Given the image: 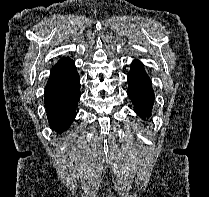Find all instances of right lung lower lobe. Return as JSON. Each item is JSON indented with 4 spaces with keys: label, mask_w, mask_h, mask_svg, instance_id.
Here are the masks:
<instances>
[{
    "label": "right lung lower lobe",
    "mask_w": 209,
    "mask_h": 197,
    "mask_svg": "<svg viewBox=\"0 0 209 197\" xmlns=\"http://www.w3.org/2000/svg\"><path fill=\"white\" fill-rule=\"evenodd\" d=\"M80 78L70 58L59 60L52 68L45 87V108L49 124L62 133L76 116L80 98Z\"/></svg>",
    "instance_id": "right-lung-lower-lobe-1"
}]
</instances>
